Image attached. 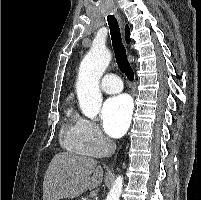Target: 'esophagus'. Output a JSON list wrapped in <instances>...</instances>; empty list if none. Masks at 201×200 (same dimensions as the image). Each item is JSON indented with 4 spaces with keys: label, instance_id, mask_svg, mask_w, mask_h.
<instances>
[{
    "label": "esophagus",
    "instance_id": "34e87169",
    "mask_svg": "<svg viewBox=\"0 0 201 200\" xmlns=\"http://www.w3.org/2000/svg\"><path fill=\"white\" fill-rule=\"evenodd\" d=\"M117 15V17H118V19H119V21H120V23H121V25H122V27H123V21H122V17L117 13L116 14Z\"/></svg>",
    "mask_w": 201,
    "mask_h": 200
}]
</instances>
